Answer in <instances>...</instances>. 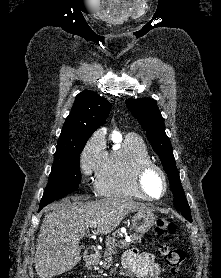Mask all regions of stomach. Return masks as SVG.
Returning a JSON list of instances; mask_svg holds the SVG:
<instances>
[{"label":"stomach","mask_w":221,"mask_h":278,"mask_svg":"<svg viewBox=\"0 0 221 278\" xmlns=\"http://www.w3.org/2000/svg\"><path fill=\"white\" fill-rule=\"evenodd\" d=\"M156 221L152 211H139L132 218V229L142 235L150 230Z\"/></svg>","instance_id":"obj_1"}]
</instances>
